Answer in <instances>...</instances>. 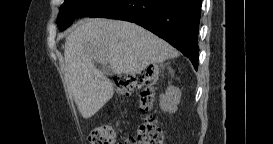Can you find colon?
Wrapping results in <instances>:
<instances>
[{
	"instance_id": "5ec220e1",
	"label": "colon",
	"mask_w": 273,
	"mask_h": 144,
	"mask_svg": "<svg viewBox=\"0 0 273 144\" xmlns=\"http://www.w3.org/2000/svg\"><path fill=\"white\" fill-rule=\"evenodd\" d=\"M158 75L159 71L156 67H148L134 75L118 76L115 78L116 91L121 95H129L136 88H142L140 109L149 113L154 96L151 85L156 81ZM116 142V131L110 125L97 126L90 133L91 144H115ZM163 142L164 133L161 127L157 120L149 115L138 129L137 143L162 144Z\"/></svg>"
}]
</instances>
